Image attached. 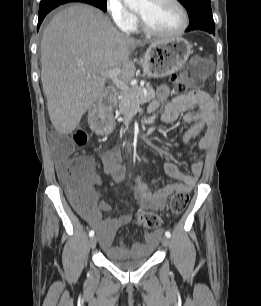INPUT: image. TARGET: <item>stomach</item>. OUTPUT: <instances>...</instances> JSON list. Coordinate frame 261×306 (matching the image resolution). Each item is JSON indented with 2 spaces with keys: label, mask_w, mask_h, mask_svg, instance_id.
<instances>
[{
  "label": "stomach",
  "mask_w": 261,
  "mask_h": 306,
  "mask_svg": "<svg viewBox=\"0 0 261 306\" xmlns=\"http://www.w3.org/2000/svg\"><path fill=\"white\" fill-rule=\"evenodd\" d=\"M192 54V45L183 37H171L153 42L142 60L143 73L150 78H162L177 72ZM91 129L97 134H109L114 128L111 116L97 112L89 115Z\"/></svg>",
  "instance_id": "stomach-1"
}]
</instances>
